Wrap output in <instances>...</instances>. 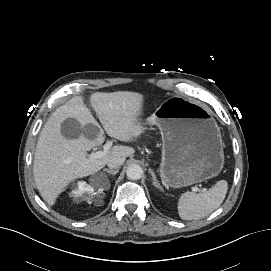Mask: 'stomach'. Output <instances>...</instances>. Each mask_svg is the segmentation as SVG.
I'll use <instances>...</instances> for the list:
<instances>
[{"mask_svg": "<svg viewBox=\"0 0 271 271\" xmlns=\"http://www.w3.org/2000/svg\"><path fill=\"white\" fill-rule=\"evenodd\" d=\"M157 125L162 136L160 174L167 187L181 188L217 176L224 164L220 128L209 110L173 97L163 102L145 122Z\"/></svg>", "mask_w": 271, "mask_h": 271, "instance_id": "0dacf381", "label": "stomach"}]
</instances>
